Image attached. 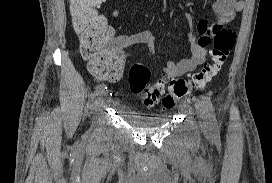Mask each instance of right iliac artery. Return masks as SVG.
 Returning <instances> with one entry per match:
<instances>
[{"label": "right iliac artery", "instance_id": "right-iliac-artery-1", "mask_svg": "<svg viewBox=\"0 0 272 183\" xmlns=\"http://www.w3.org/2000/svg\"><path fill=\"white\" fill-rule=\"evenodd\" d=\"M105 91V84H99V85H97L96 87H95V91H94V94L95 95H98V94H100V93H102V92H104Z\"/></svg>", "mask_w": 272, "mask_h": 183}]
</instances>
